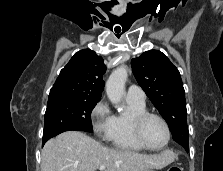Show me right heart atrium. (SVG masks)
Masks as SVG:
<instances>
[{"label": "right heart atrium", "mask_w": 223, "mask_h": 171, "mask_svg": "<svg viewBox=\"0 0 223 171\" xmlns=\"http://www.w3.org/2000/svg\"><path fill=\"white\" fill-rule=\"evenodd\" d=\"M91 123L95 134L106 138L112 126L113 114L108 103L102 99L93 107L91 114Z\"/></svg>", "instance_id": "obj_1"}]
</instances>
